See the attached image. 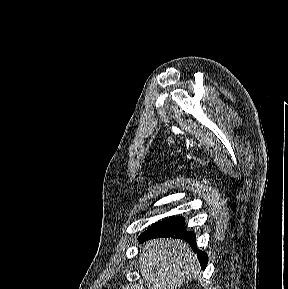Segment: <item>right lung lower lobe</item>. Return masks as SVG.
Instances as JSON below:
<instances>
[{
    "label": "right lung lower lobe",
    "instance_id": "obj_1",
    "mask_svg": "<svg viewBox=\"0 0 288 289\" xmlns=\"http://www.w3.org/2000/svg\"><path fill=\"white\" fill-rule=\"evenodd\" d=\"M185 219L181 216L169 217V219L153 224L148 230L139 236V241L157 237H178L189 242L195 248V234L185 229ZM198 252V258L203 268L207 265V255L202 251Z\"/></svg>",
    "mask_w": 288,
    "mask_h": 289
}]
</instances>
